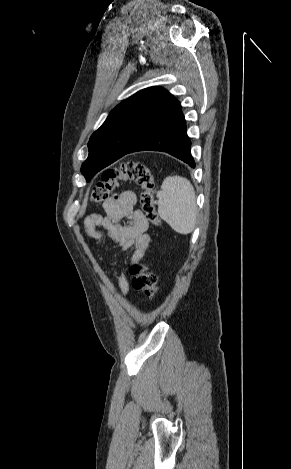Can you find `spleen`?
Segmentation results:
<instances>
[{
    "instance_id": "1",
    "label": "spleen",
    "mask_w": 291,
    "mask_h": 469,
    "mask_svg": "<svg viewBox=\"0 0 291 469\" xmlns=\"http://www.w3.org/2000/svg\"><path fill=\"white\" fill-rule=\"evenodd\" d=\"M158 214L180 234L194 230L197 218L195 190L190 181L180 176L166 177L157 192Z\"/></svg>"
}]
</instances>
